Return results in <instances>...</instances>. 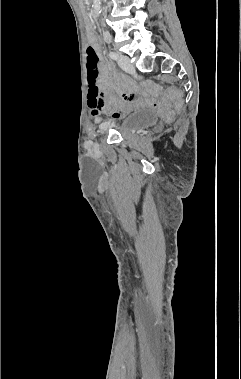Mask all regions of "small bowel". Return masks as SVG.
I'll return each instance as SVG.
<instances>
[{"label": "small bowel", "mask_w": 241, "mask_h": 379, "mask_svg": "<svg viewBox=\"0 0 241 379\" xmlns=\"http://www.w3.org/2000/svg\"><path fill=\"white\" fill-rule=\"evenodd\" d=\"M91 41L93 43L92 46L95 49L96 46L94 44L93 37H91ZM99 83H88V95L85 97L86 108L87 110H90V114L93 115L96 119H98L100 115H107V112L110 110V106L118 105V103H107L106 101H103V95L105 92H108L109 88H113L114 92H121L123 99L138 98L137 92L126 87L125 85L119 84L115 75L112 74L105 65H102L100 68ZM100 87L101 89H99ZM122 107L124 110L130 109L128 108L127 104H123ZM122 115V110H111L109 120L112 121V123H115V121L120 120V117H122Z\"/></svg>", "instance_id": "1"}]
</instances>
